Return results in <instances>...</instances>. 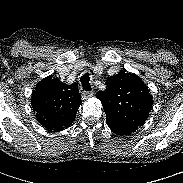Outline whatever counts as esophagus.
I'll return each instance as SVG.
<instances>
[{
  "instance_id": "obj_1",
  "label": "esophagus",
  "mask_w": 183,
  "mask_h": 183,
  "mask_svg": "<svg viewBox=\"0 0 183 183\" xmlns=\"http://www.w3.org/2000/svg\"><path fill=\"white\" fill-rule=\"evenodd\" d=\"M81 96H82L83 100H86V99L93 96V92L92 91H84Z\"/></svg>"
}]
</instances>
